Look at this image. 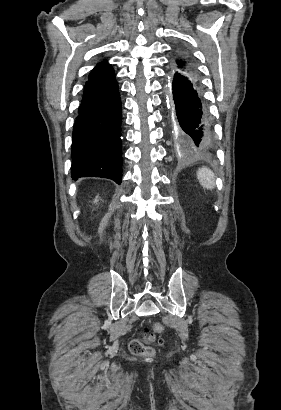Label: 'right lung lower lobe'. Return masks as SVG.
<instances>
[{
    "label": "right lung lower lobe",
    "instance_id": "obj_1",
    "mask_svg": "<svg viewBox=\"0 0 281 410\" xmlns=\"http://www.w3.org/2000/svg\"><path fill=\"white\" fill-rule=\"evenodd\" d=\"M122 109L117 81L84 92L72 133L71 177L122 179Z\"/></svg>",
    "mask_w": 281,
    "mask_h": 410
}]
</instances>
